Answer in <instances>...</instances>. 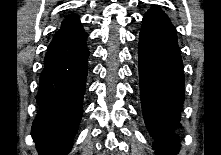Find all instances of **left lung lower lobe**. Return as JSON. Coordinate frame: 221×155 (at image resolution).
<instances>
[{
	"mask_svg": "<svg viewBox=\"0 0 221 155\" xmlns=\"http://www.w3.org/2000/svg\"><path fill=\"white\" fill-rule=\"evenodd\" d=\"M139 77L142 111L155 139L158 155H177L179 124L184 101V73L176 30L168 16L152 7L139 35Z\"/></svg>",
	"mask_w": 221,
	"mask_h": 155,
	"instance_id": "1",
	"label": "left lung lower lobe"
}]
</instances>
